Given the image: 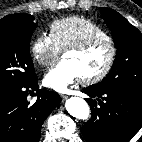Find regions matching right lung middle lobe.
I'll return each mask as SVG.
<instances>
[{
  "label": "right lung middle lobe",
  "mask_w": 142,
  "mask_h": 142,
  "mask_svg": "<svg viewBox=\"0 0 142 142\" xmlns=\"http://www.w3.org/2000/svg\"><path fill=\"white\" fill-rule=\"evenodd\" d=\"M29 14H11L0 20V95L32 82L37 75L30 56L36 29Z\"/></svg>",
  "instance_id": "right-lung-middle-lobe-1"
}]
</instances>
